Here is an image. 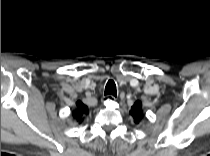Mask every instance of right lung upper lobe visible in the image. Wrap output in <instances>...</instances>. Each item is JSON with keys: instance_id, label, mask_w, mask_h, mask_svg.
<instances>
[{"instance_id": "cb5924a9", "label": "right lung upper lobe", "mask_w": 210, "mask_h": 156, "mask_svg": "<svg viewBox=\"0 0 210 156\" xmlns=\"http://www.w3.org/2000/svg\"><path fill=\"white\" fill-rule=\"evenodd\" d=\"M76 104L77 110L72 112V116L76 121L81 123L83 120V115L88 113V108L81 101H78Z\"/></svg>"}]
</instances>
